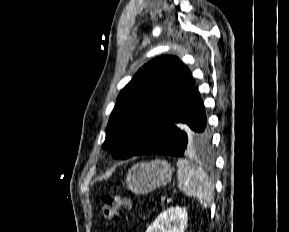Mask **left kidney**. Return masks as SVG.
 Segmentation results:
<instances>
[{
    "label": "left kidney",
    "instance_id": "5707ae66",
    "mask_svg": "<svg viewBox=\"0 0 289 232\" xmlns=\"http://www.w3.org/2000/svg\"><path fill=\"white\" fill-rule=\"evenodd\" d=\"M187 222L188 213L185 208L171 207L163 211L146 232H184Z\"/></svg>",
    "mask_w": 289,
    "mask_h": 232
}]
</instances>
